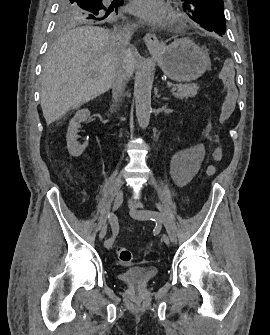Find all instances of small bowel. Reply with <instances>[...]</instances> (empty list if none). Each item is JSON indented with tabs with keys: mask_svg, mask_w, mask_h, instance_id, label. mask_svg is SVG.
Masks as SVG:
<instances>
[{
	"mask_svg": "<svg viewBox=\"0 0 270 335\" xmlns=\"http://www.w3.org/2000/svg\"><path fill=\"white\" fill-rule=\"evenodd\" d=\"M57 153L56 151L54 152ZM205 156L204 146L197 144L177 156L172 163V177L177 185H185L197 172ZM217 158V155H215Z\"/></svg>",
	"mask_w": 270,
	"mask_h": 335,
	"instance_id": "small-bowel-1",
	"label": "small bowel"
}]
</instances>
